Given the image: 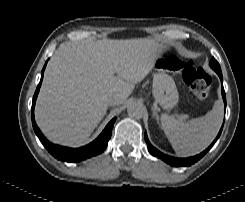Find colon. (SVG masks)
I'll use <instances>...</instances> for the list:
<instances>
[{"label": "colon", "instance_id": "1", "mask_svg": "<svg viewBox=\"0 0 245 202\" xmlns=\"http://www.w3.org/2000/svg\"><path fill=\"white\" fill-rule=\"evenodd\" d=\"M168 62L173 69L181 72L194 97L197 100H203L211 87L210 77L200 70L192 61L179 59L173 54L170 55Z\"/></svg>", "mask_w": 245, "mask_h": 202}]
</instances>
